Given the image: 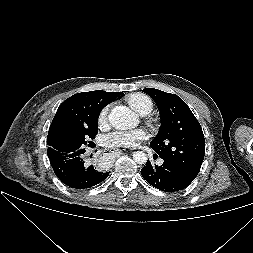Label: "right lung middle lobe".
I'll list each match as a JSON object with an SVG mask.
<instances>
[{
	"label": "right lung middle lobe",
	"instance_id": "1",
	"mask_svg": "<svg viewBox=\"0 0 253 253\" xmlns=\"http://www.w3.org/2000/svg\"><path fill=\"white\" fill-rule=\"evenodd\" d=\"M98 114L91 117L88 126L72 130H66L60 133L47 150L48 156L68 155L75 152H84L85 145L90 139H94L98 133Z\"/></svg>",
	"mask_w": 253,
	"mask_h": 253
}]
</instances>
